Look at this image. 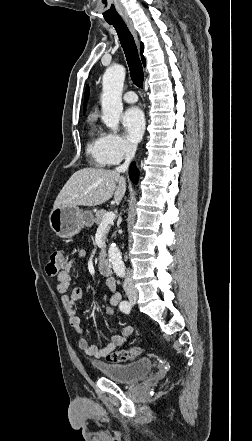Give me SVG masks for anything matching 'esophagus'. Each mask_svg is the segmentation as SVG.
Instances as JSON below:
<instances>
[{"label": "esophagus", "instance_id": "34e87169", "mask_svg": "<svg viewBox=\"0 0 252 441\" xmlns=\"http://www.w3.org/2000/svg\"><path fill=\"white\" fill-rule=\"evenodd\" d=\"M124 21H125V23L127 24V26H128V28H129V30L131 31V33H132V34L134 35V37L137 39V34H136V31H135V29H134V26H133V24H132L131 19L128 18V17H126V18H124Z\"/></svg>", "mask_w": 252, "mask_h": 441}]
</instances>
